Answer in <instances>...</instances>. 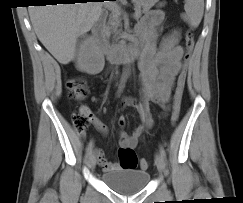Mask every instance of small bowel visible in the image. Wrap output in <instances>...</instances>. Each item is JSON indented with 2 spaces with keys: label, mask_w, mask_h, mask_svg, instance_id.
<instances>
[{
  "label": "small bowel",
  "mask_w": 243,
  "mask_h": 203,
  "mask_svg": "<svg viewBox=\"0 0 243 203\" xmlns=\"http://www.w3.org/2000/svg\"><path fill=\"white\" fill-rule=\"evenodd\" d=\"M164 15L159 10L148 12L141 19L136 29L137 40L144 41V51L139 61L140 79L142 82V99L136 102L125 101L126 106L136 107L141 115V124L131 134L120 132V147L135 148L143 133L152 128L154 122L149 111V104L160 105L165 112L170 109L172 89L176 76L182 69L184 49L178 44V31L171 30L157 45V39L162 31ZM91 123L101 133H107L106 126L93 115ZM126 124L124 116L118 119V125ZM99 165L105 171L120 169L119 163L109 162L101 149H96Z\"/></svg>",
  "instance_id": "c3829d8e"
}]
</instances>
